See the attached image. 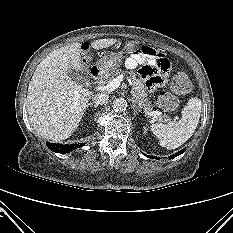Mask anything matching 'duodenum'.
<instances>
[{
  "mask_svg": "<svg viewBox=\"0 0 233 233\" xmlns=\"http://www.w3.org/2000/svg\"><path fill=\"white\" fill-rule=\"evenodd\" d=\"M91 75L93 76V78L95 79H100L103 77V71L100 70L99 68L93 67L91 69Z\"/></svg>",
  "mask_w": 233,
  "mask_h": 233,
  "instance_id": "duodenum-1",
  "label": "duodenum"
}]
</instances>
